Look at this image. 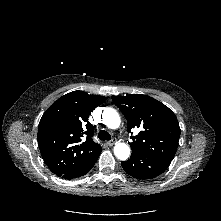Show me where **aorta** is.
Listing matches in <instances>:
<instances>
[{"mask_svg":"<svg viewBox=\"0 0 221 221\" xmlns=\"http://www.w3.org/2000/svg\"><path fill=\"white\" fill-rule=\"evenodd\" d=\"M102 118L104 124L110 129H117L120 126V116L113 108H105ZM114 154L119 160H127L130 156V148L125 143H117L114 147Z\"/></svg>","mask_w":221,"mask_h":221,"instance_id":"762f6f07","label":"aorta"}]
</instances>
